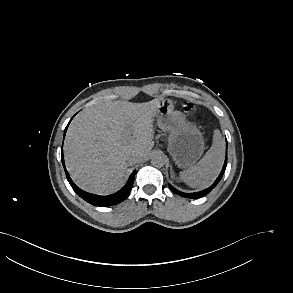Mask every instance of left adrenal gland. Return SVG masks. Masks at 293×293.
I'll return each mask as SVG.
<instances>
[{
  "instance_id": "obj_1",
  "label": "left adrenal gland",
  "mask_w": 293,
  "mask_h": 293,
  "mask_svg": "<svg viewBox=\"0 0 293 293\" xmlns=\"http://www.w3.org/2000/svg\"><path fill=\"white\" fill-rule=\"evenodd\" d=\"M170 173H171V177H174V173H173V170H172V167H170Z\"/></svg>"
}]
</instances>
